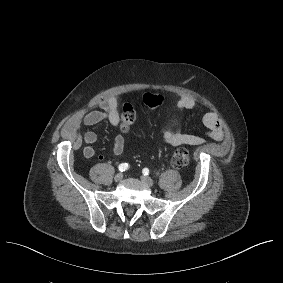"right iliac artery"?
Returning a JSON list of instances; mask_svg holds the SVG:
<instances>
[{
    "label": "right iliac artery",
    "instance_id": "right-iliac-artery-1",
    "mask_svg": "<svg viewBox=\"0 0 283 283\" xmlns=\"http://www.w3.org/2000/svg\"><path fill=\"white\" fill-rule=\"evenodd\" d=\"M128 168H129L128 163H122V164L119 165V170H120L121 172L127 170Z\"/></svg>",
    "mask_w": 283,
    "mask_h": 283
}]
</instances>
